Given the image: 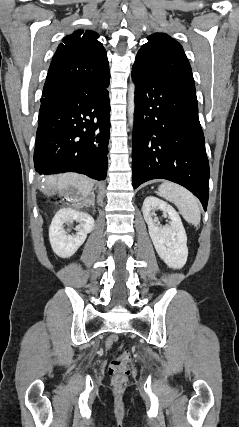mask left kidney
<instances>
[{"instance_id": "left-kidney-1", "label": "left kidney", "mask_w": 239, "mask_h": 427, "mask_svg": "<svg viewBox=\"0 0 239 427\" xmlns=\"http://www.w3.org/2000/svg\"><path fill=\"white\" fill-rule=\"evenodd\" d=\"M155 210L168 214L171 219L170 225L158 226L152 217ZM142 212L153 245L160 258L170 268H182L188 257L187 235L176 210L169 204L149 196L143 202Z\"/></svg>"}]
</instances>
